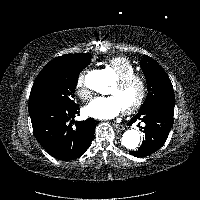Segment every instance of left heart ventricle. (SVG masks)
<instances>
[{
	"label": "left heart ventricle",
	"instance_id": "left-heart-ventricle-1",
	"mask_svg": "<svg viewBox=\"0 0 200 200\" xmlns=\"http://www.w3.org/2000/svg\"><path fill=\"white\" fill-rule=\"evenodd\" d=\"M139 93L140 87L136 82L122 88L114 84L109 91V95H113L118 98L123 109L131 106L137 100Z\"/></svg>",
	"mask_w": 200,
	"mask_h": 200
}]
</instances>
